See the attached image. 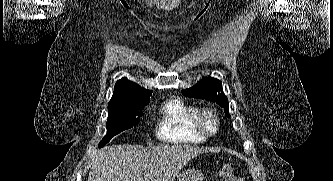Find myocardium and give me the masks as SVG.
<instances>
[{
  "mask_svg": "<svg viewBox=\"0 0 333 181\" xmlns=\"http://www.w3.org/2000/svg\"><path fill=\"white\" fill-rule=\"evenodd\" d=\"M208 122H212V128L208 127ZM220 122L216 113L212 110L200 112L197 118V128L204 136L215 135L219 130Z\"/></svg>",
  "mask_w": 333,
  "mask_h": 181,
  "instance_id": "1",
  "label": "myocardium"
}]
</instances>
